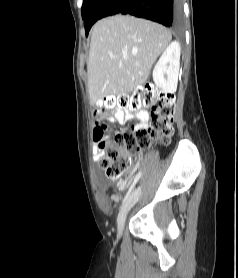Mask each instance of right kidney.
Returning a JSON list of instances; mask_svg holds the SVG:
<instances>
[{"mask_svg":"<svg viewBox=\"0 0 238 278\" xmlns=\"http://www.w3.org/2000/svg\"><path fill=\"white\" fill-rule=\"evenodd\" d=\"M180 67V44L172 42L163 52L153 69V80L163 92L176 91Z\"/></svg>","mask_w":238,"mask_h":278,"instance_id":"right-kidney-1","label":"right kidney"}]
</instances>
